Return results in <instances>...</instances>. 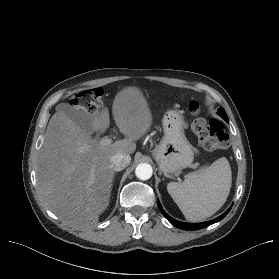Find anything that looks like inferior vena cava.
Here are the masks:
<instances>
[{"label":"inferior vena cava","mask_w":279,"mask_h":279,"mask_svg":"<svg viewBox=\"0 0 279 279\" xmlns=\"http://www.w3.org/2000/svg\"><path fill=\"white\" fill-rule=\"evenodd\" d=\"M131 162V157L125 153H116L110 158L111 168L114 171L125 169Z\"/></svg>","instance_id":"602c4592"}]
</instances>
